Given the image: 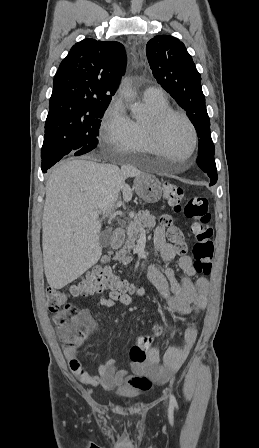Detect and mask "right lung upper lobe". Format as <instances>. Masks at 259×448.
<instances>
[{"instance_id":"right-lung-upper-lobe-1","label":"right lung upper lobe","mask_w":259,"mask_h":448,"mask_svg":"<svg viewBox=\"0 0 259 448\" xmlns=\"http://www.w3.org/2000/svg\"><path fill=\"white\" fill-rule=\"evenodd\" d=\"M126 68L121 43L84 39L61 62L53 81L49 113H78L109 105Z\"/></svg>"}]
</instances>
